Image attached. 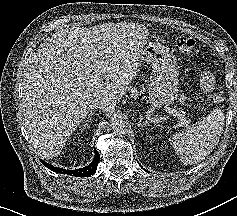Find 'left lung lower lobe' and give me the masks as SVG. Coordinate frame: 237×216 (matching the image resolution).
<instances>
[{
  "label": "left lung lower lobe",
  "mask_w": 237,
  "mask_h": 216,
  "mask_svg": "<svg viewBox=\"0 0 237 216\" xmlns=\"http://www.w3.org/2000/svg\"><path fill=\"white\" fill-rule=\"evenodd\" d=\"M140 165V164H139ZM142 169H144L143 167H142ZM145 170V169H144ZM146 172H148L147 170H145Z\"/></svg>",
  "instance_id": "1"
}]
</instances>
